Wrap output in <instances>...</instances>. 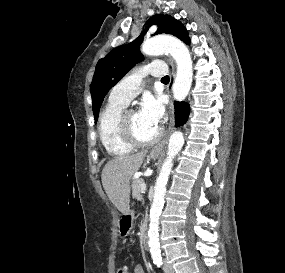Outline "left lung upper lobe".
<instances>
[{
    "instance_id": "5c2ea615",
    "label": "left lung upper lobe",
    "mask_w": 285,
    "mask_h": 273,
    "mask_svg": "<svg viewBox=\"0 0 285 273\" xmlns=\"http://www.w3.org/2000/svg\"><path fill=\"white\" fill-rule=\"evenodd\" d=\"M146 24L148 27L133 42L119 46L101 59L95 69L90 85L93 113L97 122L101 103L108 91L138 62L142 60L139 46L148 28L157 24L158 29L153 34H172L182 41H186L188 33L185 27L169 15L156 14Z\"/></svg>"
}]
</instances>
